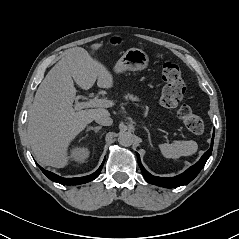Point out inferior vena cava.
Returning <instances> with one entry per match:
<instances>
[{
  "instance_id": "602c4592",
  "label": "inferior vena cava",
  "mask_w": 239,
  "mask_h": 239,
  "mask_svg": "<svg viewBox=\"0 0 239 239\" xmlns=\"http://www.w3.org/2000/svg\"><path fill=\"white\" fill-rule=\"evenodd\" d=\"M96 123L103 126H110L113 123L112 118L110 117V113L107 110H101L94 117Z\"/></svg>"
}]
</instances>
